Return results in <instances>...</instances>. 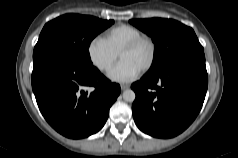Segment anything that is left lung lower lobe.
<instances>
[{
    "label": "left lung lower lobe",
    "mask_w": 238,
    "mask_h": 158,
    "mask_svg": "<svg viewBox=\"0 0 238 158\" xmlns=\"http://www.w3.org/2000/svg\"><path fill=\"white\" fill-rule=\"evenodd\" d=\"M204 52L181 56L155 73H146L131 88L136 94L133 118L144 133L171 138L198 115L207 91Z\"/></svg>",
    "instance_id": "obj_1"
}]
</instances>
